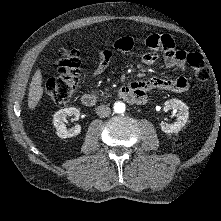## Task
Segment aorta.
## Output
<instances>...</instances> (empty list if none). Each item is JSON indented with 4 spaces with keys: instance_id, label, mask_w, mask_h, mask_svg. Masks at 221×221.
Here are the masks:
<instances>
[{
    "instance_id": "aorta-1",
    "label": "aorta",
    "mask_w": 221,
    "mask_h": 221,
    "mask_svg": "<svg viewBox=\"0 0 221 221\" xmlns=\"http://www.w3.org/2000/svg\"><path fill=\"white\" fill-rule=\"evenodd\" d=\"M114 111L116 113H124L125 112V104L122 102H116L114 104Z\"/></svg>"
}]
</instances>
